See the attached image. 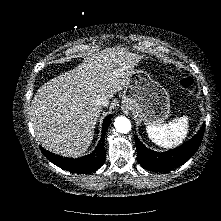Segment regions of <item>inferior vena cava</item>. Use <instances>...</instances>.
Listing matches in <instances>:
<instances>
[{
	"mask_svg": "<svg viewBox=\"0 0 221 221\" xmlns=\"http://www.w3.org/2000/svg\"><path fill=\"white\" fill-rule=\"evenodd\" d=\"M96 103H97V105H99V106H107L108 105V100H106V99H103V98H98L97 100H96Z\"/></svg>",
	"mask_w": 221,
	"mask_h": 221,
	"instance_id": "602c4592",
	"label": "inferior vena cava"
}]
</instances>
